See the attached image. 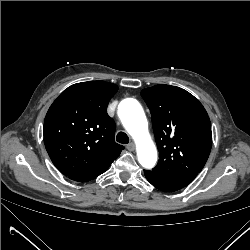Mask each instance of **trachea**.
Returning <instances> with one entry per match:
<instances>
[{
  "mask_svg": "<svg viewBox=\"0 0 250 250\" xmlns=\"http://www.w3.org/2000/svg\"><path fill=\"white\" fill-rule=\"evenodd\" d=\"M116 140L121 144H127L129 142V137L125 132H119L116 136Z\"/></svg>",
  "mask_w": 250,
  "mask_h": 250,
  "instance_id": "obj_1",
  "label": "trachea"
}]
</instances>
